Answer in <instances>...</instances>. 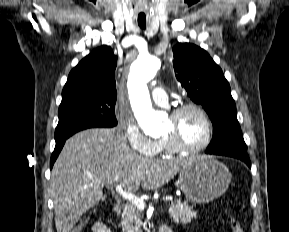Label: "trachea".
Masks as SVG:
<instances>
[{
	"label": "trachea",
	"mask_w": 289,
	"mask_h": 232,
	"mask_svg": "<svg viewBox=\"0 0 289 232\" xmlns=\"http://www.w3.org/2000/svg\"><path fill=\"white\" fill-rule=\"evenodd\" d=\"M145 24H139V27L141 28V29H144L145 28Z\"/></svg>",
	"instance_id": "trachea-1"
}]
</instances>
